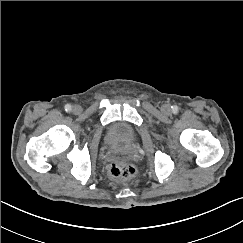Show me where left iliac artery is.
Returning a JSON list of instances; mask_svg holds the SVG:
<instances>
[{
	"label": "left iliac artery",
	"instance_id": "44dca946",
	"mask_svg": "<svg viewBox=\"0 0 243 243\" xmlns=\"http://www.w3.org/2000/svg\"><path fill=\"white\" fill-rule=\"evenodd\" d=\"M172 108H173V111L174 112H177L178 111V107L177 106H173Z\"/></svg>",
	"mask_w": 243,
	"mask_h": 243
}]
</instances>
